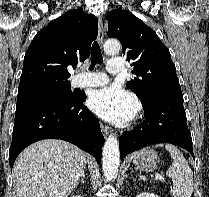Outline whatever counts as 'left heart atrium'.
Instances as JSON below:
<instances>
[{
	"mask_svg": "<svg viewBox=\"0 0 209 197\" xmlns=\"http://www.w3.org/2000/svg\"><path fill=\"white\" fill-rule=\"evenodd\" d=\"M88 103L91 110L101 118L117 124L129 122L137 111L135 99L117 86L94 91Z\"/></svg>",
	"mask_w": 209,
	"mask_h": 197,
	"instance_id": "obj_1",
	"label": "left heart atrium"
}]
</instances>
